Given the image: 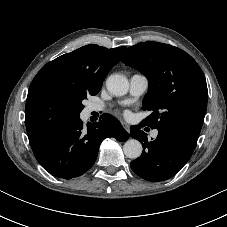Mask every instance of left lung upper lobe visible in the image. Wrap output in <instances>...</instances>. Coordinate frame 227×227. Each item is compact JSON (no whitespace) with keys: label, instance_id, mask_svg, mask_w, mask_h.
<instances>
[{"label":"left lung upper lobe","instance_id":"1","mask_svg":"<svg viewBox=\"0 0 227 227\" xmlns=\"http://www.w3.org/2000/svg\"><path fill=\"white\" fill-rule=\"evenodd\" d=\"M122 61L149 81L143 109L152 113L141 123L170 128L198 139L207 108L204 74L185 51L159 42H144L127 49Z\"/></svg>","mask_w":227,"mask_h":227}]
</instances>
